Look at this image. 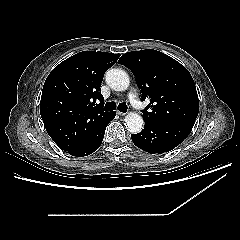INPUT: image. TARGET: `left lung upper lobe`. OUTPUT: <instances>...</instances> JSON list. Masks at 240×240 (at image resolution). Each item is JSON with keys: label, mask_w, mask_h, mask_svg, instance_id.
I'll list each match as a JSON object with an SVG mask.
<instances>
[{"label": "left lung upper lobe", "mask_w": 240, "mask_h": 240, "mask_svg": "<svg viewBox=\"0 0 240 240\" xmlns=\"http://www.w3.org/2000/svg\"><path fill=\"white\" fill-rule=\"evenodd\" d=\"M119 62L134 72L142 99H150L143 111L145 121L195 123L198 95L193 78L183 65L153 49L125 53Z\"/></svg>", "instance_id": "1"}]
</instances>
